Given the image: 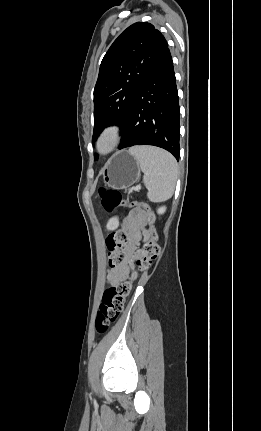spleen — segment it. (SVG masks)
<instances>
[{
    "instance_id": "3e777b00",
    "label": "spleen",
    "mask_w": 261,
    "mask_h": 431,
    "mask_svg": "<svg viewBox=\"0 0 261 431\" xmlns=\"http://www.w3.org/2000/svg\"><path fill=\"white\" fill-rule=\"evenodd\" d=\"M144 173L143 181L151 202L168 200L177 180V162L167 151L150 146H137L129 149Z\"/></svg>"
}]
</instances>
